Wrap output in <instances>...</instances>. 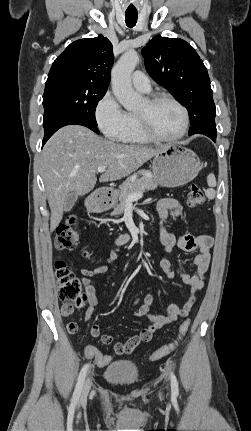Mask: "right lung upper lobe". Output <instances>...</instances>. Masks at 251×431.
I'll return each instance as SVG.
<instances>
[{
  "label": "right lung upper lobe",
  "mask_w": 251,
  "mask_h": 431,
  "mask_svg": "<svg viewBox=\"0 0 251 431\" xmlns=\"http://www.w3.org/2000/svg\"><path fill=\"white\" fill-rule=\"evenodd\" d=\"M113 58L112 44L102 35L77 40L57 57L48 76L71 75L108 87Z\"/></svg>",
  "instance_id": "1"
}]
</instances>
